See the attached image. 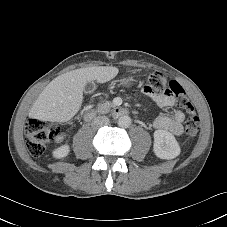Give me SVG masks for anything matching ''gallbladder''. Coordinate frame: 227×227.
I'll return each instance as SVG.
<instances>
[{
	"label": "gallbladder",
	"instance_id": "obj_1",
	"mask_svg": "<svg viewBox=\"0 0 227 227\" xmlns=\"http://www.w3.org/2000/svg\"><path fill=\"white\" fill-rule=\"evenodd\" d=\"M96 89V84L93 81L87 82L84 87L85 93H92Z\"/></svg>",
	"mask_w": 227,
	"mask_h": 227
}]
</instances>
